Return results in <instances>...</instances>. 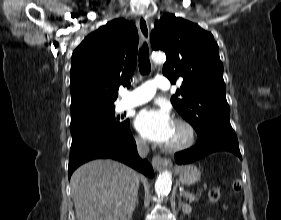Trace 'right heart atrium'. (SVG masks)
Segmentation results:
<instances>
[{
  "label": "right heart atrium",
  "instance_id": "1",
  "mask_svg": "<svg viewBox=\"0 0 281 220\" xmlns=\"http://www.w3.org/2000/svg\"><path fill=\"white\" fill-rule=\"evenodd\" d=\"M135 142H136L137 146L140 148H145L147 146L145 140L143 138H141L140 136H137L135 138Z\"/></svg>",
  "mask_w": 281,
  "mask_h": 220
}]
</instances>
